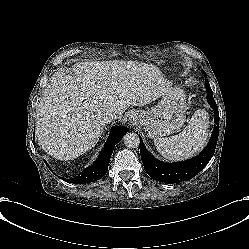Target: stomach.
<instances>
[{
  "mask_svg": "<svg viewBox=\"0 0 249 249\" xmlns=\"http://www.w3.org/2000/svg\"><path fill=\"white\" fill-rule=\"evenodd\" d=\"M187 104L181 89H172L162 95L161 101L147 111H135L134 118L145 128L150 138L174 134L186 121Z\"/></svg>",
  "mask_w": 249,
  "mask_h": 249,
  "instance_id": "stomach-1",
  "label": "stomach"
}]
</instances>
